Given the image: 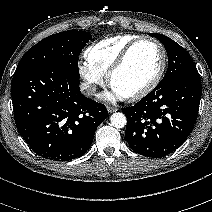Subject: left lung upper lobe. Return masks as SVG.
Returning <instances> with one entry per match:
<instances>
[{"mask_svg": "<svg viewBox=\"0 0 212 212\" xmlns=\"http://www.w3.org/2000/svg\"><path fill=\"white\" fill-rule=\"evenodd\" d=\"M165 46L168 54V69L162 81L156 87H162L175 79L195 72L196 68L189 53L172 39L158 33H150Z\"/></svg>", "mask_w": 212, "mask_h": 212, "instance_id": "1", "label": "left lung upper lobe"}]
</instances>
